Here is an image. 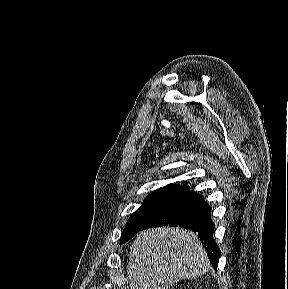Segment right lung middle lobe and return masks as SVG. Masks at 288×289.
Returning a JSON list of instances; mask_svg holds the SVG:
<instances>
[{"label":"right lung middle lobe","mask_w":288,"mask_h":289,"mask_svg":"<svg viewBox=\"0 0 288 289\" xmlns=\"http://www.w3.org/2000/svg\"><path fill=\"white\" fill-rule=\"evenodd\" d=\"M187 192L186 190L163 188L150 193L143 205L128 219L120 243L128 241L149 222L172 208Z\"/></svg>","instance_id":"dd1d6c3e"}]
</instances>
